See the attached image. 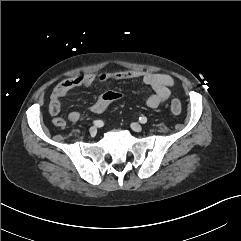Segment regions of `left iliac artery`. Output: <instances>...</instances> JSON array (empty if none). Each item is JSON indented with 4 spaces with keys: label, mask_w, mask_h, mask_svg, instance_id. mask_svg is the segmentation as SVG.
I'll return each mask as SVG.
<instances>
[{
    "label": "left iliac artery",
    "mask_w": 241,
    "mask_h": 241,
    "mask_svg": "<svg viewBox=\"0 0 241 241\" xmlns=\"http://www.w3.org/2000/svg\"><path fill=\"white\" fill-rule=\"evenodd\" d=\"M140 123L145 124L147 122V118L145 116H142L139 118Z\"/></svg>",
    "instance_id": "44dca946"
}]
</instances>
